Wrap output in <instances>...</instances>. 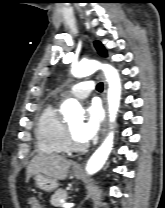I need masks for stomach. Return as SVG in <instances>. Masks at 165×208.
<instances>
[{
  "label": "stomach",
  "instance_id": "stomach-1",
  "mask_svg": "<svg viewBox=\"0 0 165 208\" xmlns=\"http://www.w3.org/2000/svg\"><path fill=\"white\" fill-rule=\"evenodd\" d=\"M71 174L76 178L82 176L81 171L76 169H73ZM33 179L37 188L48 193L54 191L58 187V183L55 180L42 174H34Z\"/></svg>",
  "mask_w": 165,
  "mask_h": 208
}]
</instances>
